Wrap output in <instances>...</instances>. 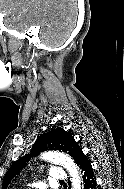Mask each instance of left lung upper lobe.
<instances>
[{
  "label": "left lung upper lobe",
  "mask_w": 124,
  "mask_h": 189,
  "mask_svg": "<svg viewBox=\"0 0 124 189\" xmlns=\"http://www.w3.org/2000/svg\"><path fill=\"white\" fill-rule=\"evenodd\" d=\"M47 150H60L66 152L77 164L83 154L82 149L74 140L72 134L65 131L63 128L58 127L50 132L44 133L35 141L31 150V155L25 156L24 158L14 162V164L8 169L3 179L2 189H6L10 181L24 167L26 161L30 157Z\"/></svg>",
  "instance_id": "1"
}]
</instances>
